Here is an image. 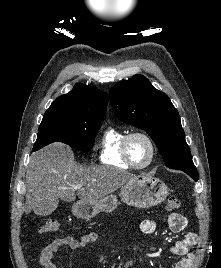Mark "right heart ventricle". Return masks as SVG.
<instances>
[{
  "instance_id": "obj_1",
  "label": "right heart ventricle",
  "mask_w": 221,
  "mask_h": 268,
  "mask_svg": "<svg viewBox=\"0 0 221 268\" xmlns=\"http://www.w3.org/2000/svg\"><path fill=\"white\" fill-rule=\"evenodd\" d=\"M127 134L125 130L115 127H109L104 131L100 142L101 163L123 169L130 168L122 155V141Z\"/></svg>"
}]
</instances>
